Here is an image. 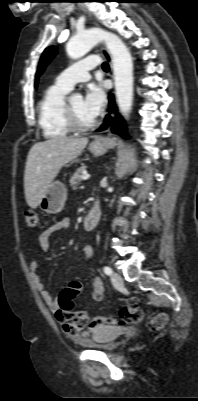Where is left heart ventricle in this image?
I'll return each instance as SVG.
<instances>
[{
    "label": "left heart ventricle",
    "instance_id": "left-heart-ventricle-1",
    "mask_svg": "<svg viewBox=\"0 0 198 401\" xmlns=\"http://www.w3.org/2000/svg\"><path fill=\"white\" fill-rule=\"evenodd\" d=\"M70 106L74 110L77 119L79 120L80 123L82 124H88L94 121L93 118H91L84 110L83 106V100L82 99H76L72 102H70Z\"/></svg>",
    "mask_w": 198,
    "mask_h": 401
}]
</instances>
